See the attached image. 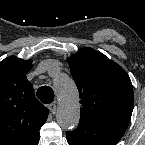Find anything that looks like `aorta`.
Segmentation results:
<instances>
[{
  "instance_id": "obj_1",
  "label": "aorta",
  "mask_w": 145,
  "mask_h": 145,
  "mask_svg": "<svg viewBox=\"0 0 145 145\" xmlns=\"http://www.w3.org/2000/svg\"><path fill=\"white\" fill-rule=\"evenodd\" d=\"M55 89L59 103L57 121L65 130L74 129L80 119L77 88L70 78L57 75Z\"/></svg>"
}]
</instances>
